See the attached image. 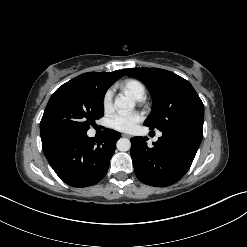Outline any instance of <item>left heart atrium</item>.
Here are the masks:
<instances>
[{
  "mask_svg": "<svg viewBox=\"0 0 247 247\" xmlns=\"http://www.w3.org/2000/svg\"><path fill=\"white\" fill-rule=\"evenodd\" d=\"M138 113H117L111 119V126L119 131L130 132L141 121Z\"/></svg>",
  "mask_w": 247,
  "mask_h": 247,
  "instance_id": "obj_1",
  "label": "left heart atrium"
}]
</instances>
